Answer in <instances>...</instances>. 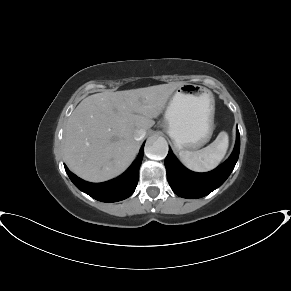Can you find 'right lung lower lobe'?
<instances>
[{
  "instance_id": "1",
  "label": "right lung lower lobe",
  "mask_w": 291,
  "mask_h": 291,
  "mask_svg": "<svg viewBox=\"0 0 291 291\" xmlns=\"http://www.w3.org/2000/svg\"><path fill=\"white\" fill-rule=\"evenodd\" d=\"M144 144L140 148L137 158L134 160L128 170L121 176L103 183H90L78 178L68 170H65L74 183L82 192L92 198L102 202H117L128 198L133 194L138 183V172L143 159Z\"/></svg>"
}]
</instances>
